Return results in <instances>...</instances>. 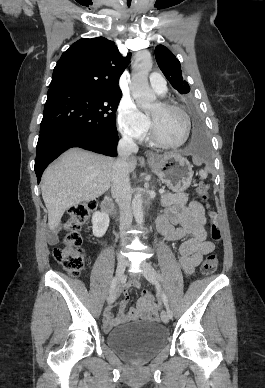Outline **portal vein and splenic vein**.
Masks as SVG:
<instances>
[{
  "label": "portal vein and splenic vein",
  "instance_id": "18ae733b",
  "mask_svg": "<svg viewBox=\"0 0 265 388\" xmlns=\"http://www.w3.org/2000/svg\"><path fill=\"white\" fill-rule=\"evenodd\" d=\"M93 186H97V184H93ZM165 190H159V194H164Z\"/></svg>",
  "mask_w": 265,
  "mask_h": 388
}]
</instances>
